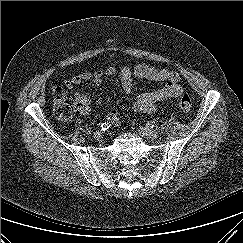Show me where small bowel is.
Returning <instances> with one entry per match:
<instances>
[{"mask_svg":"<svg viewBox=\"0 0 243 243\" xmlns=\"http://www.w3.org/2000/svg\"><path fill=\"white\" fill-rule=\"evenodd\" d=\"M116 75L119 77L122 88L126 93H130L133 90L134 78L165 83L162 88L156 91L140 93L133 104L135 112L152 113L156 109L158 102L176 98L183 91L180 75L176 71L159 69L145 63L138 64L134 69L128 66H123L119 69L114 66H108L103 70H96L94 72L84 71L66 81V86L73 88L87 81L100 85L105 76ZM76 99L78 111L83 115H87L90 112V99L82 93H77ZM108 120L118 123V112L116 110L111 111Z\"/></svg>","mask_w":243,"mask_h":243,"instance_id":"1","label":"small bowel"}]
</instances>
